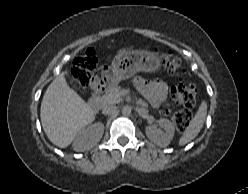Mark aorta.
<instances>
[{
	"label": "aorta",
	"mask_w": 248,
	"mask_h": 194,
	"mask_svg": "<svg viewBox=\"0 0 248 194\" xmlns=\"http://www.w3.org/2000/svg\"><path fill=\"white\" fill-rule=\"evenodd\" d=\"M121 112L124 116H129L131 114V108L129 106H124Z\"/></svg>",
	"instance_id": "1"
}]
</instances>
